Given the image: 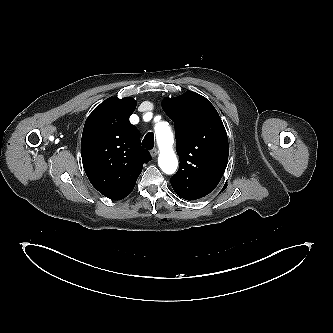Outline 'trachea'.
Returning <instances> with one entry per match:
<instances>
[{"label":"trachea","mask_w":333,"mask_h":333,"mask_svg":"<svg viewBox=\"0 0 333 333\" xmlns=\"http://www.w3.org/2000/svg\"><path fill=\"white\" fill-rule=\"evenodd\" d=\"M142 146L146 149H152L154 147V134L152 132H149L145 135Z\"/></svg>","instance_id":"3493384b"}]
</instances>
